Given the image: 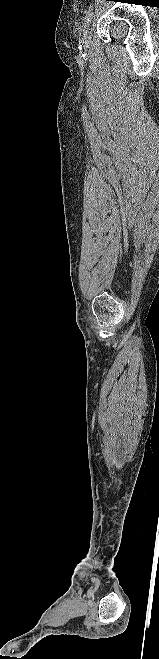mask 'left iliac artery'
Wrapping results in <instances>:
<instances>
[{
	"label": "left iliac artery",
	"instance_id": "left-iliac-artery-1",
	"mask_svg": "<svg viewBox=\"0 0 159 659\" xmlns=\"http://www.w3.org/2000/svg\"><path fill=\"white\" fill-rule=\"evenodd\" d=\"M93 14L94 13L92 11L86 14V16L84 17L85 25L91 21Z\"/></svg>",
	"mask_w": 159,
	"mask_h": 659
}]
</instances>
